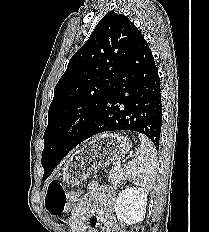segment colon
I'll list each match as a JSON object with an SVG mask.
<instances>
[{
    "label": "colon",
    "mask_w": 209,
    "mask_h": 232,
    "mask_svg": "<svg viewBox=\"0 0 209 232\" xmlns=\"http://www.w3.org/2000/svg\"><path fill=\"white\" fill-rule=\"evenodd\" d=\"M47 211L53 216H62L67 208L68 195L61 184L50 181L44 196Z\"/></svg>",
    "instance_id": "obj_1"
}]
</instances>
